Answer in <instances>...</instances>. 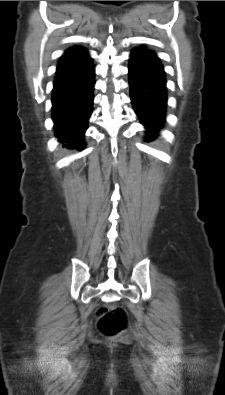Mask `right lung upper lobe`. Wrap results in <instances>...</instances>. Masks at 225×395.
I'll return each mask as SVG.
<instances>
[{"instance_id": "1", "label": "right lung upper lobe", "mask_w": 225, "mask_h": 395, "mask_svg": "<svg viewBox=\"0 0 225 395\" xmlns=\"http://www.w3.org/2000/svg\"><path fill=\"white\" fill-rule=\"evenodd\" d=\"M91 61L88 51L81 46L68 48L60 57L57 71H64L81 67Z\"/></svg>"}]
</instances>
